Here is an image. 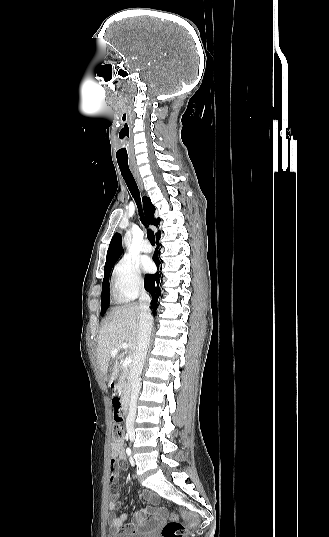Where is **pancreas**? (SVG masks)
Wrapping results in <instances>:
<instances>
[{"label":"pancreas","instance_id":"obj_1","mask_svg":"<svg viewBox=\"0 0 329 537\" xmlns=\"http://www.w3.org/2000/svg\"><path fill=\"white\" fill-rule=\"evenodd\" d=\"M118 392L122 395L123 399L125 401H129L130 398V392H131V384H130V377L128 371H123L120 375L118 384H117Z\"/></svg>","mask_w":329,"mask_h":537}]
</instances>
